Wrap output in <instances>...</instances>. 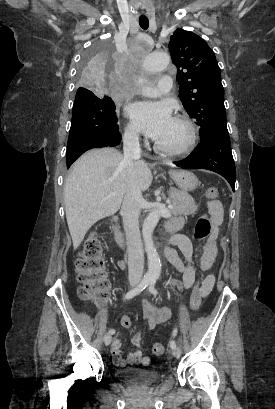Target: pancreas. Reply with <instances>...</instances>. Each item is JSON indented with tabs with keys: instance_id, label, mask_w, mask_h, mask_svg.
<instances>
[{
	"instance_id": "cf45deb5",
	"label": "pancreas",
	"mask_w": 275,
	"mask_h": 409,
	"mask_svg": "<svg viewBox=\"0 0 275 409\" xmlns=\"http://www.w3.org/2000/svg\"><path fill=\"white\" fill-rule=\"evenodd\" d=\"M168 192L171 196V202H173V209H170L173 215H192L197 211L194 198L186 190H177V188L170 186Z\"/></svg>"
}]
</instances>
